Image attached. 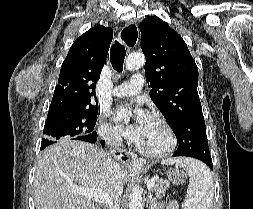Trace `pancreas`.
<instances>
[{
	"label": "pancreas",
	"mask_w": 253,
	"mask_h": 209,
	"mask_svg": "<svg viewBox=\"0 0 253 209\" xmlns=\"http://www.w3.org/2000/svg\"><path fill=\"white\" fill-rule=\"evenodd\" d=\"M169 182L167 180H157L152 188L157 199L162 198L165 195Z\"/></svg>",
	"instance_id": "cf45deb5"
}]
</instances>
